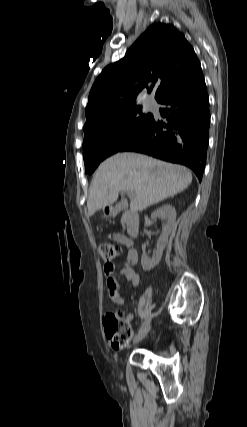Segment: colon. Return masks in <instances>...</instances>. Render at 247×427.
<instances>
[{
    "mask_svg": "<svg viewBox=\"0 0 247 427\" xmlns=\"http://www.w3.org/2000/svg\"><path fill=\"white\" fill-rule=\"evenodd\" d=\"M120 253V248L113 243H104L99 247L101 259L111 263ZM104 330L111 346L116 350L126 348L132 336L130 324L120 313L108 312L104 317Z\"/></svg>",
    "mask_w": 247,
    "mask_h": 427,
    "instance_id": "obj_1",
    "label": "colon"
}]
</instances>
